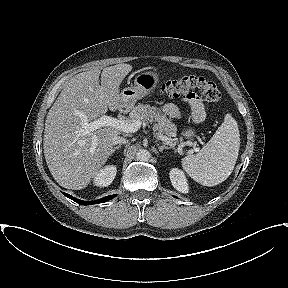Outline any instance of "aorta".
I'll return each instance as SVG.
<instances>
[{
	"label": "aorta",
	"mask_w": 288,
	"mask_h": 288,
	"mask_svg": "<svg viewBox=\"0 0 288 288\" xmlns=\"http://www.w3.org/2000/svg\"><path fill=\"white\" fill-rule=\"evenodd\" d=\"M136 158L139 161H147L150 158V153L146 149H140L136 153Z\"/></svg>",
	"instance_id": "762f6f07"
}]
</instances>
